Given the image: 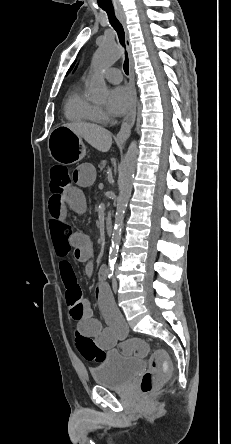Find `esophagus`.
<instances>
[{
  "label": "esophagus",
  "instance_id": "1",
  "mask_svg": "<svg viewBox=\"0 0 231 444\" xmlns=\"http://www.w3.org/2000/svg\"><path fill=\"white\" fill-rule=\"evenodd\" d=\"M116 15H117L119 21L121 22V24L123 25V28L125 31L126 47H127L128 59H129V86H130L132 94H133L132 108H131L130 112L123 119L122 124H121V129L115 137V140L117 142H124L129 138V136L131 134V129L135 123L136 107H137V92H136L135 80H134V62H133V57H132L131 44L129 41V33H128V28H127V23H126V16L123 11H117Z\"/></svg>",
  "mask_w": 231,
  "mask_h": 444
}]
</instances>
